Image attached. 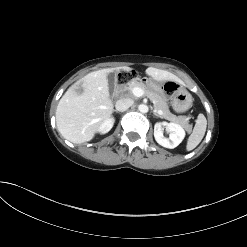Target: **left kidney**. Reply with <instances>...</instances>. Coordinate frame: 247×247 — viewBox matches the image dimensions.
I'll use <instances>...</instances> for the list:
<instances>
[{
  "instance_id": "1",
  "label": "left kidney",
  "mask_w": 247,
  "mask_h": 247,
  "mask_svg": "<svg viewBox=\"0 0 247 247\" xmlns=\"http://www.w3.org/2000/svg\"><path fill=\"white\" fill-rule=\"evenodd\" d=\"M162 126H164L170 132L169 139L163 136ZM154 137L159 145L173 149L183 141L185 137V131L179 124L159 122L154 126Z\"/></svg>"
}]
</instances>
